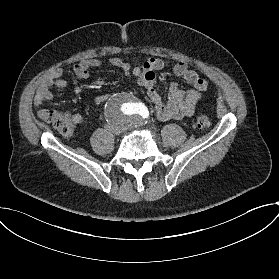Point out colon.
<instances>
[{
    "mask_svg": "<svg viewBox=\"0 0 279 279\" xmlns=\"http://www.w3.org/2000/svg\"><path fill=\"white\" fill-rule=\"evenodd\" d=\"M38 118L51 124L56 130L63 136H70L78 128L73 123V118L69 116L67 111H57L53 109H47L38 113ZM197 129L204 131L208 129L210 125V118L207 114L201 113L196 118L195 123Z\"/></svg>",
    "mask_w": 279,
    "mask_h": 279,
    "instance_id": "obj_1",
    "label": "colon"
}]
</instances>
